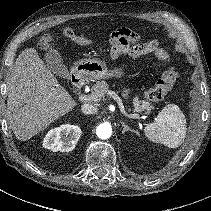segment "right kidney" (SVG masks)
Returning <instances> with one entry per match:
<instances>
[{
    "mask_svg": "<svg viewBox=\"0 0 211 211\" xmlns=\"http://www.w3.org/2000/svg\"><path fill=\"white\" fill-rule=\"evenodd\" d=\"M82 131L80 127L70 124L62 125L58 128L50 130L44 140L43 147L51 151L69 152L72 151Z\"/></svg>",
    "mask_w": 211,
    "mask_h": 211,
    "instance_id": "ca27d5eb",
    "label": "right kidney"
}]
</instances>
